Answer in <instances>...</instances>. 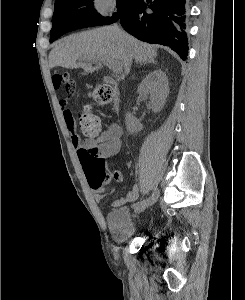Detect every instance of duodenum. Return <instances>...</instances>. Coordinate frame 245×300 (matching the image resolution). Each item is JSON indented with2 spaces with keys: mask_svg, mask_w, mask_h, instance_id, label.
I'll list each match as a JSON object with an SVG mask.
<instances>
[{
  "mask_svg": "<svg viewBox=\"0 0 245 300\" xmlns=\"http://www.w3.org/2000/svg\"><path fill=\"white\" fill-rule=\"evenodd\" d=\"M105 82H106L108 85H110V86H112V87L115 88L114 110H115L116 112H118V111H119V95H118V92H117V90H116L114 81H113L110 77H106V78H105Z\"/></svg>",
  "mask_w": 245,
  "mask_h": 300,
  "instance_id": "410a0bca",
  "label": "duodenum"
}]
</instances>
